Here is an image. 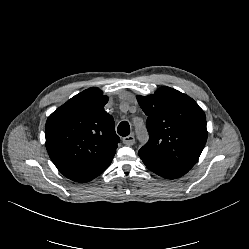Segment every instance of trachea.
<instances>
[{
  "instance_id": "trachea-1",
  "label": "trachea",
  "mask_w": 249,
  "mask_h": 249,
  "mask_svg": "<svg viewBox=\"0 0 249 249\" xmlns=\"http://www.w3.org/2000/svg\"><path fill=\"white\" fill-rule=\"evenodd\" d=\"M117 132L119 135L121 136H128L130 134V125L127 121H122L118 128H117Z\"/></svg>"
}]
</instances>
